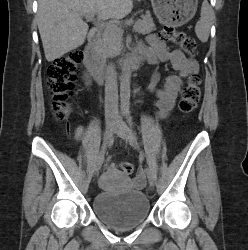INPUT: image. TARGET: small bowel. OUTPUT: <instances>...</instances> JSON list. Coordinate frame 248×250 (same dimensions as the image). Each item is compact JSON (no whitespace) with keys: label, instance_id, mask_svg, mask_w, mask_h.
Instances as JSON below:
<instances>
[{"label":"small bowel","instance_id":"small-bowel-1","mask_svg":"<svg viewBox=\"0 0 248 250\" xmlns=\"http://www.w3.org/2000/svg\"><path fill=\"white\" fill-rule=\"evenodd\" d=\"M139 52L146 56L150 63L168 61L173 68L179 72V76L173 75L166 78L163 88L155 90L156 100L154 102L157 113L160 117H167L172 111L178 93L183 83V79L199 71L196 60L187 57L181 50H169L166 43L157 35L148 38V45L141 46ZM158 76L154 74L150 80V87L155 88ZM83 127L77 126L75 136L78 140L83 138Z\"/></svg>","mask_w":248,"mask_h":250}]
</instances>
